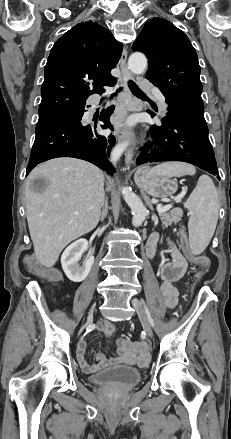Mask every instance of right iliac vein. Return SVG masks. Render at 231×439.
<instances>
[{"instance_id": "63e3f726", "label": "right iliac vein", "mask_w": 231, "mask_h": 439, "mask_svg": "<svg viewBox=\"0 0 231 439\" xmlns=\"http://www.w3.org/2000/svg\"><path fill=\"white\" fill-rule=\"evenodd\" d=\"M94 310H95V305H93L91 310H90V313L88 315V320H91L93 318Z\"/></svg>"}]
</instances>
